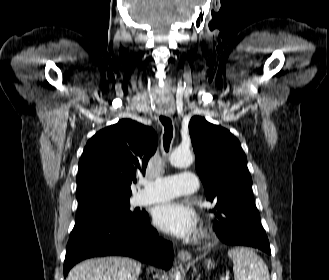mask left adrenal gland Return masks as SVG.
<instances>
[{"label":"left adrenal gland","mask_w":329,"mask_h":280,"mask_svg":"<svg viewBox=\"0 0 329 280\" xmlns=\"http://www.w3.org/2000/svg\"><path fill=\"white\" fill-rule=\"evenodd\" d=\"M200 276H201V275L199 274L198 277L196 278V280H200Z\"/></svg>","instance_id":"obj_1"}]
</instances>
